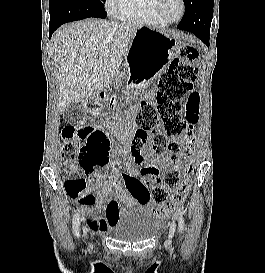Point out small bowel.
Returning a JSON list of instances; mask_svg holds the SVG:
<instances>
[{"label":"small bowel","instance_id":"obj_1","mask_svg":"<svg viewBox=\"0 0 265 273\" xmlns=\"http://www.w3.org/2000/svg\"><path fill=\"white\" fill-rule=\"evenodd\" d=\"M127 101H130V98H127ZM90 113H93V110H90ZM95 113H98V110H95ZM114 153L120 154V150L114 149ZM120 164L121 161L115 163L107 182H105V175L97 172L88 183L86 194L72 197L74 201L78 202L84 212V217L89 221L90 227L100 233H107L125 208L138 204H151V190L144 183V179L155 176L152 170H157L159 173L166 168L168 160L166 158L154 157L151 162L145 163L142 168L140 165L132 166L127 162L126 165H121L119 169ZM140 169L141 177H138V170ZM119 179L120 182H123L125 190L120 186ZM113 188L115 189L116 199L110 198ZM119 202L123 206H120ZM111 203L116 205L114 212L110 210ZM171 207H161L158 209V215L162 218L166 217Z\"/></svg>","mask_w":265,"mask_h":273}]
</instances>
